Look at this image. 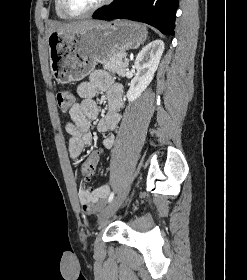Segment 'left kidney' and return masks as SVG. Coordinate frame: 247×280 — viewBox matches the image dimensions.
<instances>
[{
    "instance_id": "1",
    "label": "left kidney",
    "mask_w": 247,
    "mask_h": 280,
    "mask_svg": "<svg viewBox=\"0 0 247 280\" xmlns=\"http://www.w3.org/2000/svg\"><path fill=\"white\" fill-rule=\"evenodd\" d=\"M163 52L164 42L157 39L146 45L137 55L134 63L137 72L131 80L130 88L126 94L129 102H133L139 98L151 83Z\"/></svg>"
}]
</instances>
